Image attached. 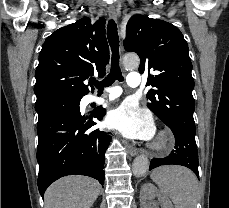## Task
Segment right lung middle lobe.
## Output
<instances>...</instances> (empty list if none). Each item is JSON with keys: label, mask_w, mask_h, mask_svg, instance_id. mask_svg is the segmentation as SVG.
Here are the masks:
<instances>
[{"label": "right lung middle lobe", "mask_w": 229, "mask_h": 208, "mask_svg": "<svg viewBox=\"0 0 229 208\" xmlns=\"http://www.w3.org/2000/svg\"><path fill=\"white\" fill-rule=\"evenodd\" d=\"M80 100L81 97L60 96L36 102L35 109L39 116L37 126H40L64 110L78 108L80 105Z\"/></svg>", "instance_id": "dd1d6c3e"}]
</instances>
